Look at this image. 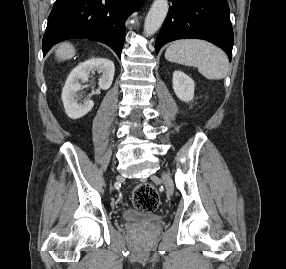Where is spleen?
Here are the masks:
<instances>
[{
	"mask_svg": "<svg viewBox=\"0 0 286 269\" xmlns=\"http://www.w3.org/2000/svg\"><path fill=\"white\" fill-rule=\"evenodd\" d=\"M165 58L174 63L194 66L209 80H219L227 75L229 62L226 54L215 45L197 39H183L170 44Z\"/></svg>",
	"mask_w": 286,
	"mask_h": 269,
	"instance_id": "obj_1",
	"label": "spleen"
}]
</instances>
